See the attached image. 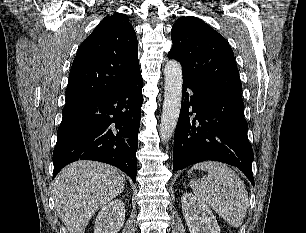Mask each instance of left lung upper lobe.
Here are the masks:
<instances>
[{"instance_id": "1", "label": "left lung upper lobe", "mask_w": 306, "mask_h": 233, "mask_svg": "<svg viewBox=\"0 0 306 233\" xmlns=\"http://www.w3.org/2000/svg\"><path fill=\"white\" fill-rule=\"evenodd\" d=\"M171 39L168 57L181 63L183 77L241 92L233 51L208 24L193 16L181 17L172 27Z\"/></svg>"}]
</instances>
